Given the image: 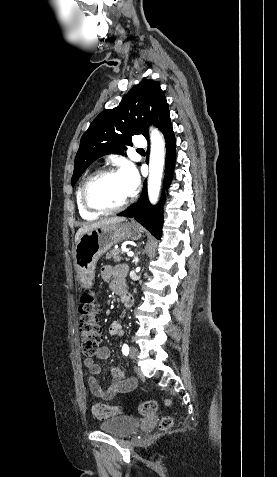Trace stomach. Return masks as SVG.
<instances>
[{
	"label": "stomach",
	"mask_w": 277,
	"mask_h": 477,
	"mask_svg": "<svg viewBox=\"0 0 277 477\" xmlns=\"http://www.w3.org/2000/svg\"><path fill=\"white\" fill-rule=\"evenodd\" d=\"M142 228L136 222L104 225L83 234L74 249L76 278L82 289H90L98 259L114 244L125 239L138 240Z\"/></svg>",
	"instance_id": "stomach-1"
}]
</instances>
